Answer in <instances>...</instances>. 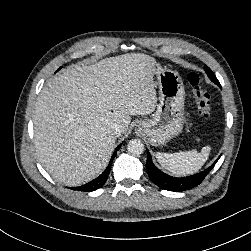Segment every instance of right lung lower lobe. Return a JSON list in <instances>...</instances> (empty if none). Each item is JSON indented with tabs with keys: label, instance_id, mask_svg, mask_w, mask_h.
Listing matches in <instances>:
<instances>
[{
	"label": "right lung lower lobe",
	"instance_id": "right-lung-lower-lobe-1",
	"mask_svg": "<svg viewBox=\"0 0 251 251\" xmlns=\"http://www.w3.org/2000/svg\"><path fill=\"white\" fill-rule=\"evenodd\" d=\"M118 149H119V146L115 149V151L111 157V160L109 162V165L107 166L105 171L100 176H98L96 179L92 180L89 183H86L80 187H76V188H72V189L73 190H80V191H84V192H91V191L97 190L98 188L102 187L105 184V182L107 181V178H108L111 166H112L113 159L116 156V152Z\"/></svg>",
	"mask_w": 251,
	"mask_h": 251
}]
</instances>
